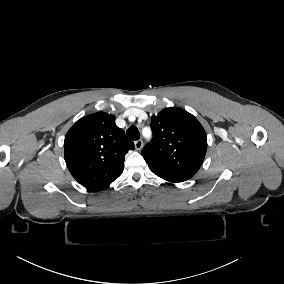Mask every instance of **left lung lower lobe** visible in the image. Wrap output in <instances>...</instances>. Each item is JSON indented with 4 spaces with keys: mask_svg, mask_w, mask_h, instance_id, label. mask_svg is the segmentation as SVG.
<instances>
[{
    "mask_svg": "<svg viewBox=\"0 0 284 284\" xmlns=\"http://www.w3.org/2000/svg\"><path fill=\"white\" fill-rule=\"evenodd\" d=\"M169 182H173V183H178V182H182V180H178V179H175V178H170V177H161Z\"/></svg>",
    "mask_w": 284,
    "mask_h": 284,
    "instance_id": "1",
    "label": "left lung lower lobe"
}]
</instances>
